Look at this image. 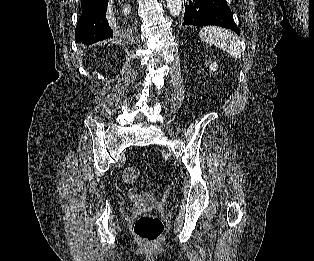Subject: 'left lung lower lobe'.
I'll return each mask as SVG.
<instances>
[{
  "instance_id": "left-lung-lower-lobe-1",
  "label": "left lung lower lobe",
  "mask_w": 314,
  "mask_h": 261,
  "mask_svg": "<svg viewBox=\"0 0 314 261\" xmlns=\"http://www.w3.org/2000/svg\"><path fill=\"white\" fill-rule=\"evenodd\" d=\"M183 25H217L240 35L225 0H188Z\"/></svg>"
}]
</instances>
